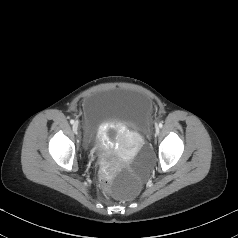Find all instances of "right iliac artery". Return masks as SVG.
I'll list each match as a JSON object with an SVG mask.
<instances>
[{
  "mask_svg": "<svg viewBox=\"0 0 238 238\" xmlns=\"http://www.w3.org/2000/svg\"><path fill=\"white\" fill-rule=\"evenodd\" d=\"M70 123L73 124V123H74V120H70Z\"/></svg>",
  "mask_w": 238,
  "mask_h": 238,
  "instance_id": "right-iliac-artery-1",
  "label": "right iliac artery"
}]
</instances>
